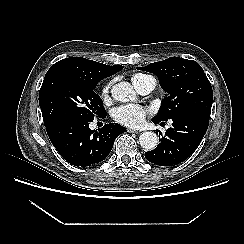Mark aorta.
Masks as SVG:
<instances>
[{"label": "aorta", "mask_w": 244, "mask_h": 244, "mask_svg": "<svg viewBox=\"0 0 244 244\" xmlns=\"http://www.w3.org/2000/svg\"><path fill=\"white\" fill-rule=\"evenodd\" d=\"M112 97L120 102H128L136 99V93L128 82L115 84L111 89ZM139 143L145 150H153L158 145V137L152 131L143 132L139 137Z\"/></svg>", "instance_id": "obj_1"}]
</instances>
